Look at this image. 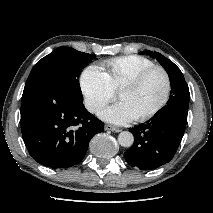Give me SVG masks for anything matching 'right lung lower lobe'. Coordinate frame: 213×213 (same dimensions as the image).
Wrapping results in <instances>:
<instances>
[{
    "label": "right lung lower lobe",
    "instance_id": "obj_1",
    "mask_svg": "<svg viewBox=\"0 0 213 213\" xmlns=\"http://www.w3.org/2000/svg\"><path fill=\"white\" fill-rule=\"evenodd\" d=\"M21 131L38 163L68 168L83 159L91 138L104 131V124L85 109L82 100L53 82L39 80L25 85Z\"/></svg>",
    "mask_w": 213,
    "mask_h": 213
}]
</instances>
